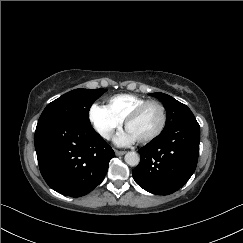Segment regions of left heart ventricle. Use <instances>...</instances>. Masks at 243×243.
<instances>
[{
	"instance_id": "b2bd125f",
	"label": "left heart ventricle",
	"mask_w": 243,
	"mask_h": 243,
	"mask_svg": "<svg viewBox=\"0 0 243 243\" xmlns=\"http://www.w3.org/2000/svg\"><path fill=\"white\" fill-rule=\"evenodd\" d=\"M161 110L157 105L147 107L142 114L131 122L127 130L136 141L142 140L154 133L161 123Z\"/></svg>"
}]
</instances>
